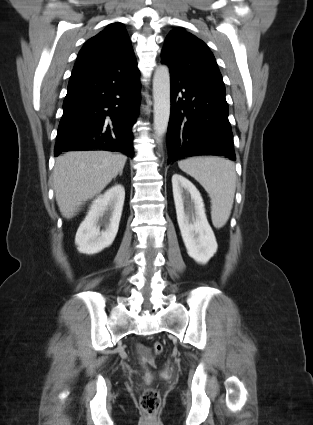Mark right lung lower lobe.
Wrapping results in <instances>:
<instances>
[{
	"mask_svg": "<svg viewBox=\"0 0 313 425\" xmlns=\"http://www.w3.org/2000/svg\"><path fill=\"white\" fill-rule=\"evenodd\" d=\"M139 70L74 69L63 103L54 154L81 149L119 151L133 157L131 127L140 103Z\"/></svg>",
	"mask_w": 313,
	"mask_h": 425,
	"instance_id": "1",
	"label": "right lung lower lobe"
}]
</instances>
